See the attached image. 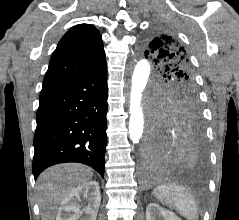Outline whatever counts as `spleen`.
Instances as JSON below:
<instances>
[{
    "label": "spleen",
    "instance_id": "spleen-1",
    "mask_svg": "<svg viewBox=\"0 0 239 220\" xmlns=\"http://www.w3.org/2000/svg\"><path fill=\"white\" fill-rule=\"evenodd\" d=\"M153 195L164 205L175 209L187 220H198L199 213L195 197L175 183L163 184L153 190Z\"/></svg>",
    "mask_w": 239,
    "mask_h": 220
}]
</instances>
